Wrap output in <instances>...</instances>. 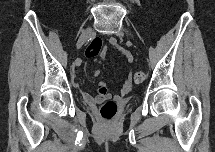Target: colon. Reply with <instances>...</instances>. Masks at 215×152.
Instances as JSON below:
<instances>
[{
  "label": "colon",
  "instance_id": "obj_1",
  "mask_svg": "<svg viewBox=\"0 0 215 152\" xmlns=\"http://www.w3.org/2000/svg\"><path fill=\"white\" fill-rule=\"evenodd\" d=\"M102 48L100 39H94L86 48V56L89 58L96 57ZM145 80V74L142 71H137L134 74V82L139 85ZM117 104L113 100L104 102L100 107V115L104 120H111L117 113Z\"/></svg>",
  "mask_w": 215,
  "mask_h": 152
}]
</instances>
